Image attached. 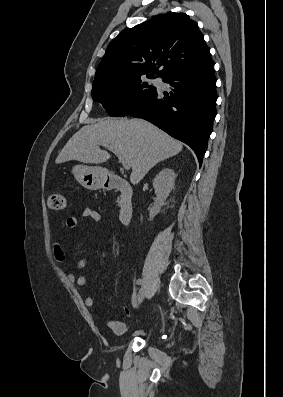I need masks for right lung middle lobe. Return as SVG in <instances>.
Here are the masks:
<instances>
[{
  "mask_svg": "<svg viewBox=\"0 0 283 397\" xmlns=\"http://www.w3.org/2000/svg\"><path fill=\"white\" fill-rule=\"evenodd\" d=\"M147 78H154L147 76ZM156 87L142 82V77L93 82V100L102 104L113 117L128 115L156 94Z\"/></svg>",
  "mask_w": 283,
  "mask_h": 397,
  "instance_id": "right-lung-middle-lobe-1",
  "label": "right lung middle lobe"
}]
</instances>
